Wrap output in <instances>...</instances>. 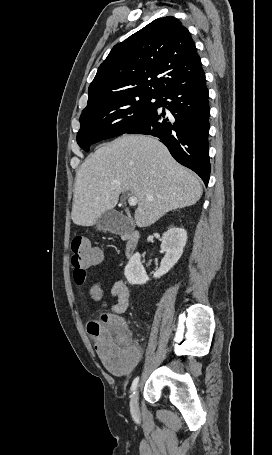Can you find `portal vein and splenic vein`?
Wrapping results in <instances>:
<instances>
[{
    "label": "portal vein and splenic vein",
    "instance_id": "obj_1",
    "mask_svg": "<svg viewBox=\"0 0 272 455\" xmlns=\"http://www.w3.org/2000/svg\"><path fill=\"white\" fill-rule=\"evenodd\" d=\"M128 203L130 206H135L138 203V199L136 196H130L128 199Z\"/></svg>",
    "mask_w": 272,
    "mask_h": 455
}]
</instances>
